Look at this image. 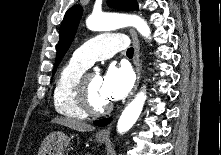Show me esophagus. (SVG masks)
<instances>
[{
    "instance_id": "esophagus-1",
    "label": "esophagus",
    "mask_w": 221,
    "mask_h": 155,
    "mask_svg": "<svg viewBox=\"0 0 221 155\" xmlns=\"http://www.w3.org/2000/svg\"><path fill=\"white\" fill-rule=\"evenodd\" d=\"M129 32H130L132 42H133V46H134L133 61H134L135 71H136V83H135L134 88H133V90L131 92V95H130V99H131L133 97V95L135 94V92L138 88L139 82H140L141 67H140V43H139L138 36H137L136 32L133 29H130ZM111 126H112V123L109 124L107 127H105L103 129H101L100 131H98L97 135L99 137H102V138L109 137Z\"/></svg>"
}]
</instances>
